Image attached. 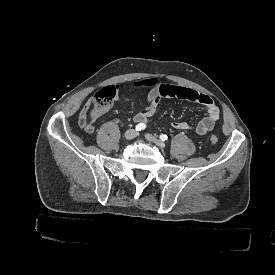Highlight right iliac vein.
Returning <instances> with one entry per match:
<instances>
[{
	"instance_id": "right-iliac-vein-1",
	"label": "right iliac vein",
	"mask_w": 275,
	"mask_h": 275,
	"mask_svg": "<svg viewBox=\"0 0 275 275\" xmlns=\"http://www.w3.org/2000/svg\"><path fill=\"white\" fill-rule=\"evenodd\" d=\"M137 135V131L134 130V129H128L125 134H124V137L127 141H130L132 139L135 138V136Z\"/></svg>"
}]
</instances>
